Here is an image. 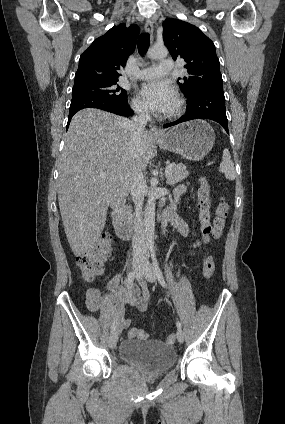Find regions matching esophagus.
I'll return each mask as SVG.
<instances>
[{
    "instance_id": "34e87169",
    "label": "esophagus",
    "mask_w": 285,
    "mask_h": 424,
    "mask_svg": "<svg viewBox=\"0 0 285 424\" xmlns=\"http://www.w3.org/2000/svg\"><path fill=\"white\" fill-rule=\"evenodd\" d=\"M145 31L150 35L151 40L154 38V28L153 23L150 19L145 22ZM149 133L152 137H162L164 134L162 130L157 125H151Z\"/></svg>"
}]
</instances>
